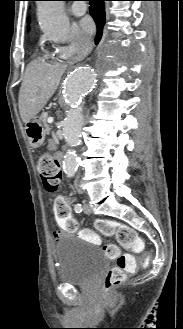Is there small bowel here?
<instances>
[{
    "instance_id": "1",
    "label": "small bowel",
    "mask_w": 183,
    "mask_h": 329,
    "mask_svg": "<svg viewBox=\"0 0 183 329\" xmlns=\"http://www.w3.org/2000/svg\"><path fill=\"white\" fill-rule=\"evenodd\" d=\"M52 203V215H54L57 227H62L63 232H82L85 242L99 243L100 239L96 235H92L93 231L89 225H78L77 221L72 220L73 213L71 212L72 205L70 199L65 196L54 197ZM65 202V203H63ZM61 235L60 231H55L53 236L58 239Z\"/></svg>"
}]
</instances>
